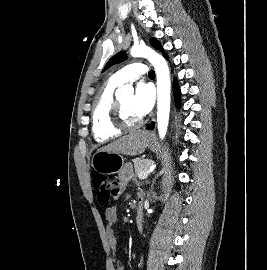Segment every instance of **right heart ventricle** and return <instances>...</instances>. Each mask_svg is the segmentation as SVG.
Wrapping results in <instances>:
<instances>
[{
    "instance_id": "right-heart-ventricle-1",
    "label": "right heart ventricle",
    "mask_w": 267,
    "mask_h": 270,
    "mask_svg": "<svg viewBox=\"0 0 267 270\" xmlns=\"http://www.w3.org/2000/svg\"><path fill=\"white\" fill-rule=\"evenodd\" d=\"M120 84L110 78L97 95L92 112V131L99 143L108 142L122 134L112 123L114 92Z\"/></svg>"
}]
</instances>
